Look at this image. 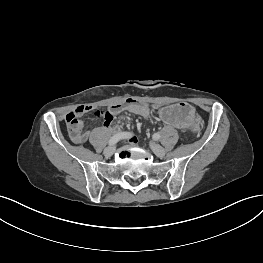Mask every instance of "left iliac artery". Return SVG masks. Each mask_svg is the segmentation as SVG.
Here are the masks:
<instances>
[{
  "mask_svg": "<svg viewBox=\"0 0 263 263\" xmlns=\"http://www.w3.org/2000/svg\"><path fill=\"white\" fill-rule=\"evenodd\" d=\"M153 139L158 141L160 139V135L158 133L153 134Z\"/></svg>",
  "mask_w": 263,
  "mask_h": 263,
  "instance_id": "1",
  "label": "left iliac artery"
}]
</instances>
